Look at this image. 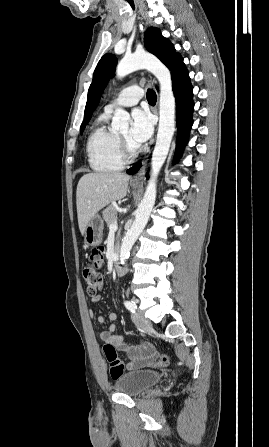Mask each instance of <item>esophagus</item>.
Returning <instances> with one entry per match:
<instances>
[{
	"instance_id": "esophagus-1",
	"label": "esophagus",
	"mask_w": 269,
	"mask_h": 447,
	"mask_svg": "<svg viewBox=\"0 0 269 447\" xmlns=\"http://www.w3.org/2000/svg\"><path fill=\"white\" fill-rule=\"evenodd\" d=\"M147 160H148V157H146L142 161V166H141L139 172L136 175H134L133 179L131 180L132 184H138V183H141L143 181V178H144V175H145V170H146Z\"/></svg>"
}]
</instances>
